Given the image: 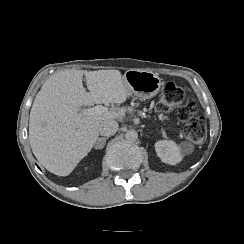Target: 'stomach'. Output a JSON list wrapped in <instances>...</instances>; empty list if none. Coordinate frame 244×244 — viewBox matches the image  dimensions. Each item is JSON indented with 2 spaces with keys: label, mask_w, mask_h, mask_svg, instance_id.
I'll return each instance as SVG.
<instances>
[{
  "label": "stomach",
  "mask_w": 244,
  "mask_h": 244,
  "mask_svg": "<svg viewBox=\"0 0 244 244\" xmlns=\"http://www.w3.org/2000/svg\"><path fill=\"white\" fill-rule=\"evenodd\" d=\"M123 77L129 92L141 99L153 98L162 86L161 77L151 71L130 69Z\"/></svg>",
  "instance_id": "stomach-1"
}]
</instances>
